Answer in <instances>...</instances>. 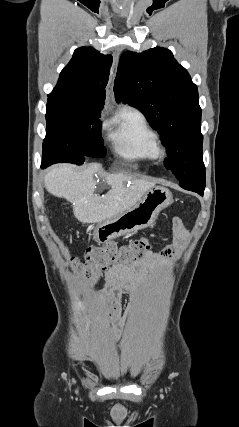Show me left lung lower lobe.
Segmentation results:
<instances>
[{
    "mask_svg": "<svg viewBox=\"0 0 239 427\" xmlns=\"http://www.w3.org/2000/svg\"><path fill=\"white\" fill-rule=\"evenodd\" d=\"M205 184V170L198 174L194 179L186 183H179L182 188L196 192L201 196H203Z\"/></svg>",
    "mask_w": 239,
    "mask_h": 427,
    "instance_id": "obj_1",
    "label": "left lung lower lobe"
}]
</instances>
